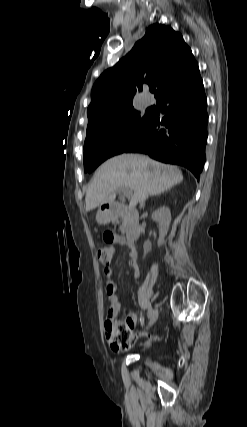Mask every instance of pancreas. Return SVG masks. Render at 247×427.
Here are the masks:
<instances>
[{
    "mask_svg": "<svg viewBox=\"0 0 247 427\" xmlns=\"http://www.w3.org/2000/svg\"><path fill=\"white\" fill-rule=\"evenodd\" d=\"M119 216H120L121 221H122V223H121V225H120V231H121L122 233H124V232H125V229H126V222H125V215H124V212H120Z\"/></svg>",
    "mask_w": 247,
    "mask_h": 427,
    "instance_id": "1",
    "label": "pancreas"
}]
</instances>
